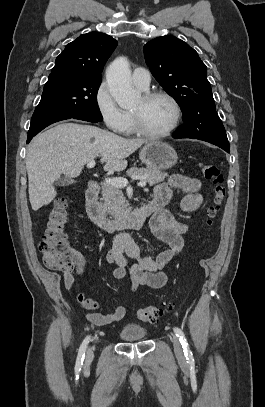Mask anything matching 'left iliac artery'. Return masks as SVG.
Masks as SVG:
<instances>
[{
    "label": "left iliac artery",
    "mask_w": 265,
    "mask_h": 407,
    "mask_svg": "<svg viewBox=\"0 0 265 407\" xmlns=\"http://www.w3.org/2000/svg\"><path fill=\"white\" fill-rule=\"evenodd\" d=\"M174 332H175L176 336L179 337V339H180L181 345H182V347L184 349L183 351H184V354L186 356V359L189 362H194L193 354H192L191 350L188 347L187 339L185 337L184 332L178 327H174Z\"/></svg>",
    "instance_id": "obj_1"
}]
</instances>
